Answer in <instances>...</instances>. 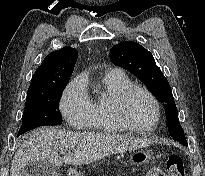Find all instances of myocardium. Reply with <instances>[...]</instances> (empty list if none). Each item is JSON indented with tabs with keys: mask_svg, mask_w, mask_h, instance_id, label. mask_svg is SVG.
Listing matches in <instances>:
<instances>
[{
	"mask_svg": "<svg viewBox=\"0 0 205 176\" xmlns=\"http://www.w3.org/2000/svg\"><path fill=\"white\" fill-rule=\"evenodd\" d=\"M136 92L144 93L149 98V100L151 101L154 107L155 119L151 124H147V125L137 124L133 122L129 117V114L127 111L128 101L131 98V96ZM116 111H117V115L119 119L121 120V122L124 125H126L127 128L132 129V130L146 131L148 129L156 127L161 121V107H160L158 99L147 87L142 86V85L132 84L129 87H127L125 90H123L117 97Z\"/></svg>",
	"mask_w": 205,
	"mask_h": 176,
	"instance_id": "f54148a6",
	"label": "myocardium"
}]
</instances>
